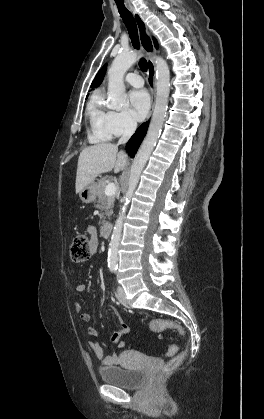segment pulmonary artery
Returning <instances> with one entry per match:
<instances>
[{
    "mask_svg": "<svg viewBox=\"0 0 264 419\" xmlns=\"http://www.w3.org/2000/svg\"><path fill=\"white\" fill-rule=\"evenodd\" d=\"M125 81L136 88H140L144 84L142 77L136 73H128L125 76Z\"/></svg>",
    "mask_w": 264,
    "mask_h": 419,
    "instance_id": "obj_1",
    "label": "pulmonary artery"
}]
</instances>
